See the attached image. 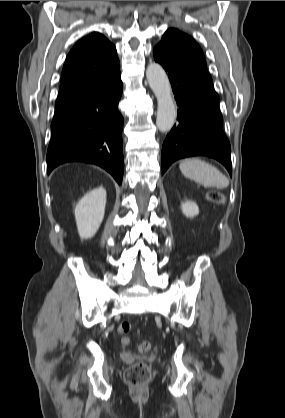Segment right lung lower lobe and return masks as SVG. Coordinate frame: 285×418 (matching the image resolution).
I'll return each instance as SVG.
<instances>
[{
  "label": "right lung lower lobe",
  "instance_id": "right-lung-lower-lobe-1",
  "mask_svg": "<svg viewBox=\"0 0 285 418\" xmlns=\"http://www.w3.org/2000/svg\"><path fill=\"white\" fill-rule=\"evenodd\" d=\"M123 84L120 73L95 90L59 107L51 123L48 174L66 162L95 164L122 183L123 117L118 111Z\"/></svg>",
  "mask_w": 285,
  "mask_h": 418
}]
</instances>
